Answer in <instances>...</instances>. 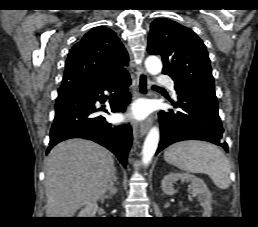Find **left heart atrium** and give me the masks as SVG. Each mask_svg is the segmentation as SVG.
Segmentation results:
<instances>
[{
  "label": "left heart atrium",
  "instance_id": "obj_1",
  "mask_svg": "<svg viewBox=\"0 0 258 227\" xmlns=\"http://www.w3.org/2000/svg\"><path fill=\"white\" fill-rule=\"evenodd\" d=\"M145 113H146V110H145V108L142 107V106H138V107H136L135 110H134V116H135L136 118H142V117L145 115Z\"/></svg>",
  "mask_w": 258,
  "mask_h": 227
}]
</instances>
